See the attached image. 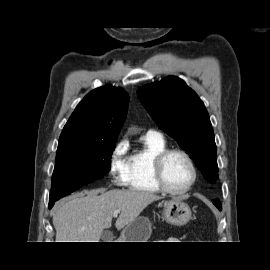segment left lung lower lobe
I'll return each mask as SVG.
<instances>
[{
    "instance_id": "left-lung-lower-lobe-1",
    "label": "left lung lower lobe",
    "mask_w": 270,
    "mask_h": 270,
    "mask_svg": "<svg viewBox=\"0 0 270 270\" xmlns=\"http://www.w3.org/2000/svg\"><path fill=\"white\" fill-rule=\"evenodd\" d=\"M213 203H214V205H215L219 210L222 209L220 201L214 200Z\"/></svg>"
}]
</instances>
